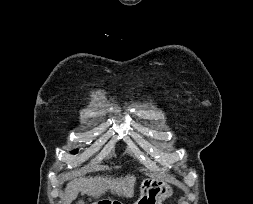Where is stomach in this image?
<instances>
[{
    "label": "stomach",
    "instance_id": "obj_1",
    "mask_svg": "<svg viewBox=\"0 0 253 204\" xmlns=\"http://www.w3.org/2000/svg\"><path fill=\"white\" fill-rule=\"evenodd\" d=\"M140 192V197L135 204H162L173 194L170 185L153 177L142 180Z\"/></svg>",
    "mask_w": 253,
    "mask_h": 204
}]
</instances>
